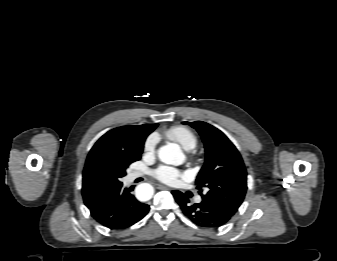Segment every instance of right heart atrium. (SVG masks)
<instances>
[{
	"label": "right heart atrium",
	"instance_id": "obj_1",
	"mask_svg": "<svg viewBox=\"0 0 337 261\" xmlns=\"http://www.w3.org/2000/svg\"><path fill=\"white\" fill-rule=\"evenodd\" d=\"M156 144H157V137L155 135L149 136L144 143V151L147 154H153L155 152Z\"/></svg>",
	"mask_w": 337,
	"mask_h": 261
}]
</instances>
